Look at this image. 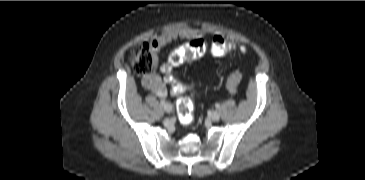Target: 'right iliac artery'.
Wrapping results in <instances>:
<instances>
[{"instance_id": "right-iliac-artery-1", "label": "right iliac artery", "mask_w": 365, "mask_h": 180, "mask_svg": "<svg viewBox=\"0 0 365 180\" xmlns=\"http://www.w3.org/2000/svg\"><path fill=\"white\" fill-rule=\"evenodd\" d=\"M160 103L164 106L166 103H165V100H161Z\"/></svg>"}]
</instances>
